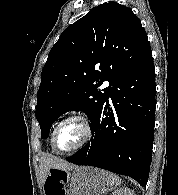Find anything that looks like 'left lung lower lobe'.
Listing matches in <instances>:
<instances>
[{
    "label": "left lung lower lobe",
    "mask_w": 178,
    "mask_h": 195,
    "mask_svg": "<svg viewBox=\"0 0 178 195\" xmlns=\"http://www.w3.org/2000/svg\"><path fill=\"white\" fill-rule=\"evenodd\" d=\"M154 71L150 51L117 78L91 123V141L69 162L130 176L142 186L147 184L156 107Z\"/></svg>",
    "instance_id": "obj_1"
}]
</instances>
